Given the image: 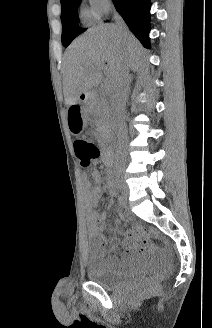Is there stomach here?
Returning <instances> with one entry per match:
<instances>
[{
	"label": "stomach",
	"mask_w": 212,
	"mask_h": 328,
	"mask_svg": "<svg viewBox=\"0 0 212 328\" xmlns=\"http://www.w3.org/2000/svg\"><path fill=\"white\" fill-rule=\"evenodd\" d=\"M67 116L69 120L67 121V128L70 129L71 135H82L83 129L82 124H84V117H82V103L81 102H68L67 103Z\"/></svg>",
	"instance_id": "stomach-1"
}]
</instances>
